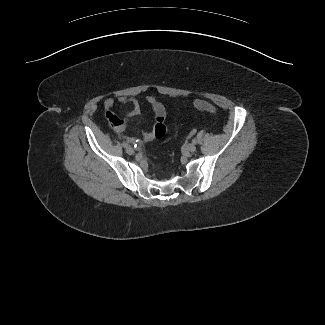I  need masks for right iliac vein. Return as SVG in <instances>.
I'll list each match as a JSON object with an SVG mask.
<instances>
[{"instance_id": "right-iliac-vein-1", "label": "right iliac vein", "mask_w": 325, "mask_h": 325, "mask_svg": "<svg viewBox=\"0 0 325 325\" xmlns=\"http://www.w3.org/2000/svg\"><path fill=\"white\" fill-rule=\"evenodd\" d=\"M126 152L128 154L132 155L134 153V149L131 146L127 145L126 146Z\"/></svg>"}]
</instances>
